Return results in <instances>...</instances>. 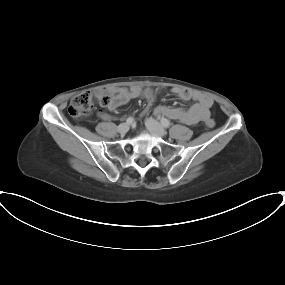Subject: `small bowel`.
I'll use <instances>...</instances> for the list:
<instances>
[{
  "label": "small bowel",
  "mask_w": 285,
  "mask_h": 285,
  "mask_svg": "<svg viewBox=\"0 0 285 285\" xmlns=\"http://www.w3.org/2000/svg\"><path fill=\"white\" fill-rule=\"evenodd\" d=\"M110 91L114 94L108 104V108L110 110H116L118 107L136 98L146 99L148 106L141 113V117H145L148 114L151 105L155 101V92L152 89H144L137 85L129 88H113ZM101 92V90H96L95 94H100ZM172 93L181 100H194L196 103L187 109L169 106H157L154 109L155 115L166 116L170 119L178 120L188 125L196 124L210 117V108L212 107L213 101L207 95H204L198 91H191L182 88H173ZM100 117L103 119L109 118V116L105 113H100Z\"/></svg>",
  "instance_id": "c3829d8e"
}]
</instances>
